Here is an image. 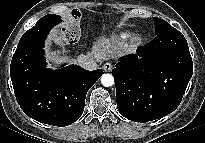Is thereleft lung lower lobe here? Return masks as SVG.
<instances>
[{
  "label": "left lung lower lobe",
  "mask_w": 205,
  "mask_h": 143,
  "mask_svg": "<svg viewBox=\"0 0 205 143\" xmlns=\"http://www.w3.org/2000/svg\"><path fill=\"white\" fill-rule=\"evenodd\" d=\"M192 73L184 36L178 30L159 34L112 70L117 108L135 122L164 117L179 106Z\"/></svg>",
  "instance_id": "obj_1"
}]
</instances>
